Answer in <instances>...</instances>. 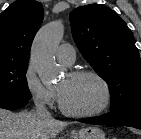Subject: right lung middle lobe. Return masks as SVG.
Segmentation results:
<instances>
[{
  "mask_svg": "<svg viewBox=\"0 0 141 139\" xmlns=\"http://www.w3.org/2000/svg\"><path fill=\"white\" fill-rule=\"evenodd\" d=\"M28 61L0 60V100H29L27 85Z\"/></svg>",
  "mask_w": 141,
  "mask_h": 139,
  "instance_id": "right-lung-middle-lobe-1",
  "label": "right lung middle lobe"
}]
</instances>
